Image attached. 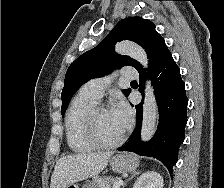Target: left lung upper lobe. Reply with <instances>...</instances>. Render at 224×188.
<instances>
[{
  "label": "left lung upper lobe",
  "mask_w": 224,
  "mask_h": 188,
  "mask_svg": "<svg viewBox=\"0 0 224 188\" xmlns=\"http://www.w3.org/2000/svg\"><path fill=\"white\" fill-rule=\"evenodd\" d=\"M128 39L143 47L149 58V72L171 55L163 37L155 30V25L142 17L121 20L95 48L83 53L68 68L62 91L61 113L64 115L73 94L88 80L101 77L113 68L130 65L144 74L142 66L134 59L114 53L116 42ZM131 89L123 90L128 96Z\"/></svg>",
  "instance_id": "5c2ea615"
}]
</instances>
